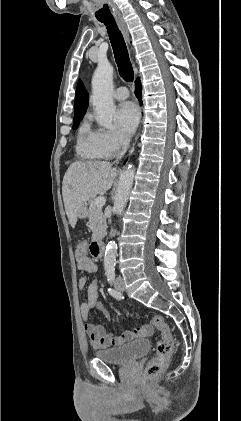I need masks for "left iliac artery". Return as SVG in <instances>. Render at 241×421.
Wrapping results in <instances>:
<instances>
[{"instance_id":"obj_1","label":"left iliac artery","mask_w":241,"mask_h":421,"mask_svg":"<svg viewBox=\"0 0 241 421\" xmlns=\"http://www.w3.org/2000/svg\"><path fill=\"white\" fill-rule=\"evenodd\" d=\"M106 276H107V280L112 283L114 281L115 278V271L114 269H108L106 271Z\"/></svg>"}]
</instances>
